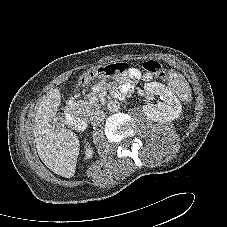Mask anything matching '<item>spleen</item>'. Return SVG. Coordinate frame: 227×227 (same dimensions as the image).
Wrapping results in <instances>:
<instances>
[{
	"instance_id": "obj_1",
	"label": "spleen",
	"mask_w": 227,
	"mask_h": 227,
	"mask_svg": "<svg viewBox=\"0 0 227 227\" xmlns=\"http://www.w3.org/2000/svg\"><path fill=\"white\" fill-rule=\"evenodd\" d=\"M168 88L182 101L191 99V89L185 78L177 73H172L168 82Z\"/></svg>"
}]
</instances>
